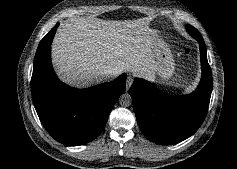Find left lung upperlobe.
I'll return each mask as SVG.
<instances>
[{
	"label": "left lung upper lobe",
	"mask_w": 237,
	"mask_h": 169,
	"mask_svg": "<svg viewBox=\"0 0 237 169\" xmlns=\"http://www.w3.org/2000/svg\"><path fill=\"white\" fill-rule=\"evenodd\" d=\"M187 28H188V29H190V30L192 29V30H193V32H195L196 34L200 35V33L198 32V30H197V29H195L193 26H191V25H188V26H187Z\"/></svg>",
	"instance_id": "5c2ea615"
}]
</instances>
